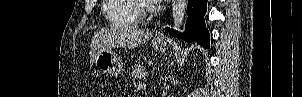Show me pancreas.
Returning a JSON list of instances; mask_svg holds the SVG:
<instances>
[{
  "mask_svg": "<svg viewBox=\"0 0 302 97\" xmlns=\"http://www.w3.org/2000/svg\"><path fill=\"white\" fill-rule=\"evenodd\" d=\"M131 77L134 81L145 79L146 77L145 67L142 65H136L135 67H133Z\"/></svg>",
  "mask_w": 302,
  "mask_h": 97,
  "instance_id": "cf45deb5",
  "label": "pancreas"
}]
</instances>
